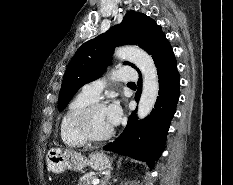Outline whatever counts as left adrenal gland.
<instances>
[{
	"instance_id": "1",
	"label": "left adrenal gland",
	"mask_w": 233,
	"mask_h": 185,
	"mask_svg": "<svg viewBox=\"0 0 233 185\" xmlns=\"http://www.w3.org/2000/svg\"><path fill=\"white\" fill-rule=\"evenodd\" d=\"M110 178H111V174L109 173L108 175H106V176L103 178V180H102V182H101L100 185H106V183L109 182V179H110Z\"/></svg>"
}]
</instances>
